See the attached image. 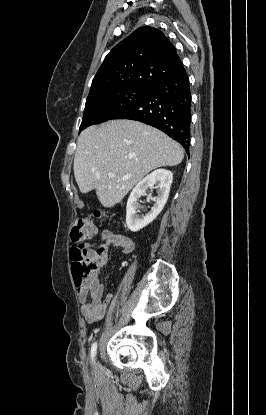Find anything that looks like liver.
I'll return each instance as SVG.
<instances>
[{"instance_id": "liver-1", "label": "liver", "mask_w": 266, "mask_h": 415, "mask_svg": "<svg viewBox=\"0 0 266 415\" xmlns=\"http://www.w3.org/2000/svg\"><path fill=\"white\" fill-rule=\"evenodd\" d=\"M183 148L160 130L133 120H112L83 130L77 139L74 176L81 193L96 191L107 208L118 204L150 171L176 166ZM113 172V178L108 173ZM130 177L126 180L122 178Z\"/></svg>"}]
</instances>
